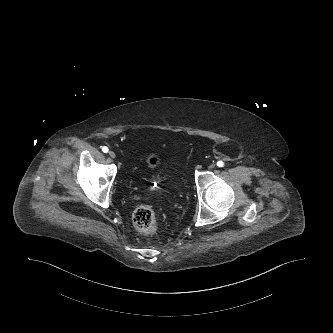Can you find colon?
<instances>
[{
    "label": "colon",
    "mask_w": 333,
    "mask_h": 333,
    "mask_svg": "<svg viewBox=\"0 0 333 333\" xmlns=\"http://www.w3.org/2000/svg\"><path fill=\"white\" fill-rule=\"evenodd\" d=\"M148 164L155 166L158 163V158L150 156ZM132 222L134 227L141 233L153 234L158 229V222L154 211L148 206L138 207L132 215Z\"/></svg>",
    "instance_id": "obj_1"
}]
</instances>
